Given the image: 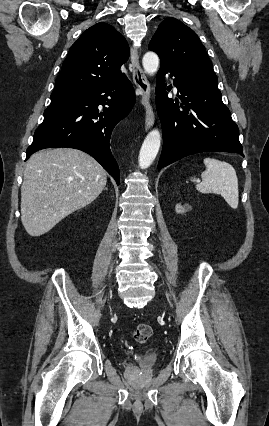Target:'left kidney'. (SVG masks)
Returning <instances> with one entry per match:
<instances>
[{"label":"left kidney","instance_id":"1","mask_svg":"<svg viewBox=\"0 0 269 426\" xmlns=\"http://www.w3.org/2000/svg\"><path fill=\"white\" fill-rule=\"evenodd\" d=\"M191 209V206L189 204H177L175 206V212L177 214H182L183 216Z\"/></svg>","mask_w":269,"mask_h":426}]
</instances>
